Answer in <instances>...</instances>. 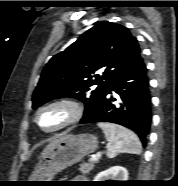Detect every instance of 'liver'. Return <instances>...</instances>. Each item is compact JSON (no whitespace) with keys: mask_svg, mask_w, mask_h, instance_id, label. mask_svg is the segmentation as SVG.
<instances>
[{"mask_svg":"<svg viewBox=\"0 0 178 186\" xmlns=\"http://www.w3.org/2000/svg\"><path fill=\"white\" fill-rule=\"evenodd\" d=\"M60 138H61V137H58V138H56L54 141H52L50 144H48V145L44 148L43 152L41 153L40 158L44 157V156L47 154V152H48L50 149L53 148V146L58 142V140H59Z\"/></svg>","mask_w":178,"mask_h":186,"instance_id":"obj_1","label":"liver"}]
</instances>
